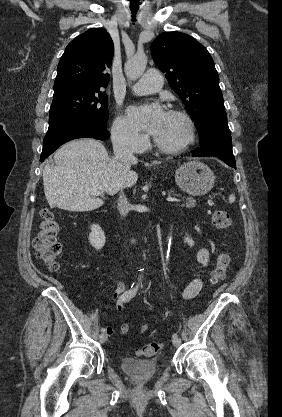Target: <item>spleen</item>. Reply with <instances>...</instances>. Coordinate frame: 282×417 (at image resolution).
Here are the masks:
<instances>
[{
    "instance_id": "spleen-1",
    "label": "spleen",
    "mask_w": 282,
    "mask_h": 417,
    "mask_svg": "<svg viewBox=\"0 0 282 417\" xmlns=\"http://www.w3.org/2000/svg\"><path fill=\"white\" fill-rule=\"evenodd\" d=\"M234 200H235V194H230L229 202H234Z\"/></svg>"
}]
</instances>
